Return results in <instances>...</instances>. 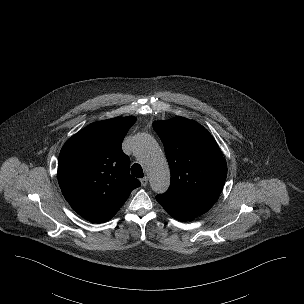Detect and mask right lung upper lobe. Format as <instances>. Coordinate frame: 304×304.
I'll use <instances>...</instances> for the list:
<instances>
[{
    "label": "right lung upper lobe",
    "mask_w": 304,
    "mask_h": 304,
    "mask_svg": "<svg viewBox=\"0 0 304 304\" xmlns=\"http://www.w3.org/2000/svg\"><path fill=\"white\" fill-rule=\"evenodd\" d=\"M136 118L92 123L72 136L58 160V182L70 206L94 223L110 220L131 191L140 186L132 177L122 141Z\"/></svg>",
    "instance_id": "cb5924a9"
}]
</instances>
